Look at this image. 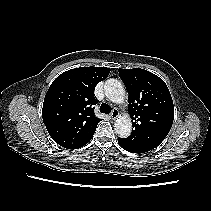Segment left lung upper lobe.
I'll list each match as a JSON object with an SVG mask.
<instances>
[{
    "instance_id": "5c2ea615",
    "label": "left lung upper lobe",
    "mask_w": 211,
    "mask_h": 211,
    "mask_svg": "<svg viewBox=\"0 0 211 211\" xmlns=\"http://www.w3.org/2000/svg\"><path fill=\"white\" fill-rule=\"evenodd\" d=\"M129 94L132 133L122 139L131 150L144 153L156 148L169 133L174 106L165 82L153 73L139 68L118 69Z\"/></svg>"
}]
</instances>
